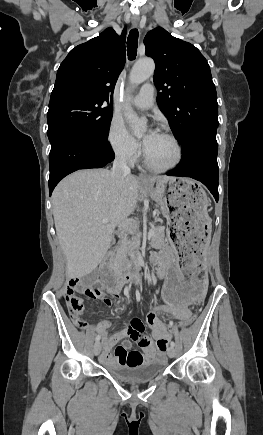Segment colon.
I'll return each mask as SVG.
<instances>
[{"instance_id":"1","label":"colon","mask_w":263,"mask_h":435,"mask_svg":"<svg viewBox=\"0 0 263 435\" xmlns=\"http://www.w3.org/2000/svg\"><path fill=\"white\" fill-rule=\"evenodd\" d=\"M80 291H83L85 295L90 299L99 298L100 292L97 286H88L78 279L70 280L66 286L65 301L69 314L77 326H79L80 328H84V321L80 318V315L83 312V302L82 299L76 294ZM191 321L192 319H190L189 321L179 322L167 321V327L169 329H188L189 326H191Z\"/></svg>"}]
</instances>
